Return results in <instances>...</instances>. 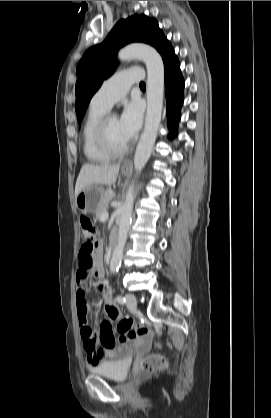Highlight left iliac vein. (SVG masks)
I'll return each mask as SVG.
<instances>
[{
    "label": "left iliac vein",
    "instance_id": "4c4485c4",
    "mask_svg": "<svg viewBox=\"0 0 271 418\" xmlns=\"http://www.w3.org/2000/svg\"><path fill=\"white\" fill-rule=\"evenodd\" d=\"M126 307L129 311L133 312L137 308V300L133 294H126Z\"/></svg>",
    "mask_w": 271,
    "mask_h": 418
}]
</instances>
